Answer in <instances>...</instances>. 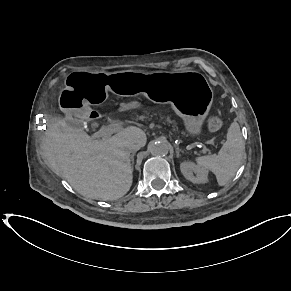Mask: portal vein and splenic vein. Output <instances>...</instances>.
<instances>
[{
    "instance_id": "18ae733b",
    "label": "portal vein and splenic vein",
    "mask_w": 291,
    "mask_h": 291,
    "mask_svg": "<svg viewBox=\"0 0 291 291\" xmlns=\"http://www.w3.org/2000/svg\"><path fill=\"white\" fill-rule=\"evenodd\" d=\"M124 129H125L124 126L118 123L111 124L108 126H102L101 129L94 134V136L97 138L98 137L107 138L111 136L113 133L120 132ZM203 151L206 152L207 148L204 147Z\"/></svg>"
}]
</instances>
